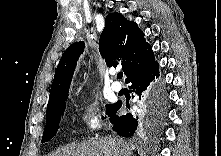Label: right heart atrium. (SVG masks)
<instances>
[{
  "label": "right heart atrium",
  "mask_w": 221,
  "mask_h": 156,
  "mask_svg": "<svg viewBox=\"0 0 221 156\" xmlns=\"http://www.w3.org/2000/svg\"><path fill=\"white\" fill-rule=\"evenodd\" d=\"M77 119L90 130L98 129L102 120L96 101L85 103L77 113Z\"/></svg>",
  "instance_id": "obj_1"
}]
</instances>
